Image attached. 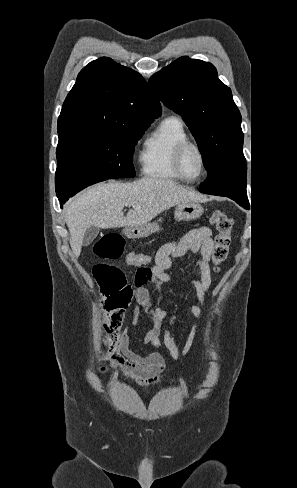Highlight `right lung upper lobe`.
I'll return each instance as SVG.
<instances>
[{"mask_svg": "<svg viewBox=\"0 0 297 488\" xmlns=\"http://www.w3.org/2000/svg\"><path fill=\"white\" fill-rule=\"evenodd\" d=\"M160 115V102L145 79L102 57L78 74L58 118V135L117 132L152 123Z\"/></svg>", "mask_w": 297, "mask_h": 488, "instance_id": "obj_1", "label": "right lung upper lobe"}]
</instances>
